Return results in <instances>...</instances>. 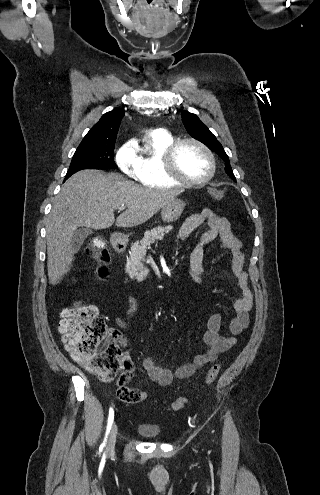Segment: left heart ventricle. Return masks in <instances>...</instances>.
Instances as JSON below:
<instances>
[{
	"label": "left heart ventricle",
	"instance_id": "left-heart-ventricle-1",
	"mask_svg": "<svg viewBox=\"0 0 320 495\" xmlns=\"http://www.w3.org/2000/svg\"><path fill=\"white\" fill-rule=\"evenodd\" d=\"M180 173L187 179L196 180L205 177L210 169L209 160L202 150L194 144L181 146L176 157Z\"/></svg>",
	"mask_w": 320,
	"mask_h": 495
}]
</instances>
